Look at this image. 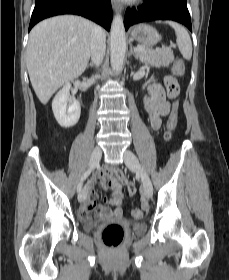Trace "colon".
Listing matches in <instances>:
<instances>
[{"label": "colon", "mask_w": 229, "mask_h": 280, "mask_svg": "<svg viewBox=\"0 0 229 280\" xmlns=\"http://www.w3.org/2000/svg\"><path fill=\"white\" fill-rule=\"evenodd\" d=\"M183 61L179 60L176 67L175 71L177 73H181L183 71L182 67ZM164 83L166 86V89L170 95V98L173 99V110L171 114L168 117V120L166 122V132H165V137L167 139H171L174 132L177 129L178 125V106L179 102L176 99L178 95V82L174 76L168 75L164 79ZM122 180V177L119 175H109L105 178L104 183L106 186H110L112 183H120ZM133 215L135 217H143L144 212L140 210L139 208L134 209ZM124 237V231L121 226L117 224H110L106 226L102 232V240L105 245L108 247H116L118 246L121 241L123 240Z\"/></svg>", "instance_id": "colon-1"}]
</instances>
